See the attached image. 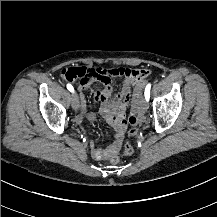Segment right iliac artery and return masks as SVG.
Wrapping results in <instances>:
<instances>
[{
    "mask_svg": "<svg viewBox=\"0 0 217 217\" xmlns=\"http://www.w3.org/2000/svg\"><path fill=\"white\" fill-rule=\"evenodd\" d=\"M67 89H68L70 92L74 93V88H73V86H72L71 84H67Z\"/></svg>",
    "mask_w": 217,
    "mask_h": 217,
    "instance_id": "82829eb1",
    "label": "right iliac artery"
}]
</instances>
